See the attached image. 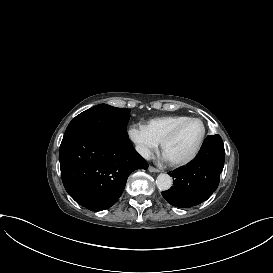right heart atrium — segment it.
I'll return each mask as SVG.
<instances>
[{
	"instance_id": "d8ad5b80",
	"label": "right heart atrium",
	"mask_w": 273,
	"mask_h": 273,
	"mask_svg": "<svg viewBox=\"0 0 273 273\" xmlns=\"http://www.w3.org/2000/svg\"><path fill=\"white\" fill-rule=\"evenodd\" d=\"M129 137L135 145L136 151L143 157L149 158L157 148V142L150 136L145 126L133 124L129 128Z\"/></svg>"
}]
</instances>
